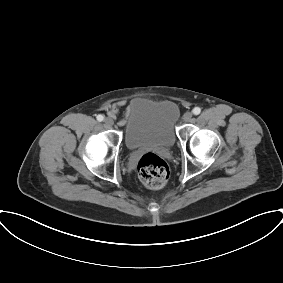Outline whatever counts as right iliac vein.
Returning a JSON list of instances; mask_svg holds the SVG:
<instances>
[{
  "label": "right iliac vein",
  "mask_w": 283,
  "mask_h": 283,
  "mask_svg": "<svg viewBox=\"0 0 283 283\" xmlns=\"http://www.w3.org/2000/svg\"><path fill=\"white\" fill-rule=\"evenodd\" d=\"M104 124L106 126H112L114 124V121H113L112 118L107 117V118L104 119Z\"/></svg>",
  "instance_id": "obj_1"
}]
</instances>
